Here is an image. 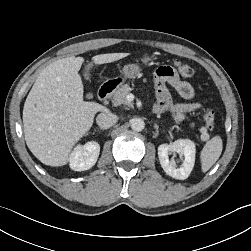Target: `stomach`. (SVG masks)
I'll return each instance as SVG.
<instances>
[{"label": "stomach", "mask_w": 251, "mask_h": 251, "mask_svg": "<svg viewBox=\"0 0 251 251\" xmlns=\"http://www.w3.org/2000/svg\"><path fill=\"white\" fill-rule=\"evenodd\" d=\"M152 56L151 55H144L142 57V62L144 64H148L151 60H152ZM141 71L140 66L138 64H126L123 68H122V74L123 76L117 77L116 81L117 82H121L124 81L126 79H131L133 77H135L139 72Z\"/></svg>", "instance_id": "1"}]
</instances>
